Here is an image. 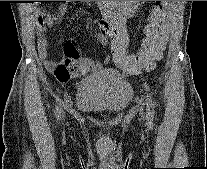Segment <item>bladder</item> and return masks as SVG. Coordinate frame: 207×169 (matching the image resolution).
<instances>
[{"mask_svg":"<svg viewBox=\"0 0 207 169\" xmlns=\"http://www.w3.org/2000/svg\"><path fill=\"white\" fill-rule=\"evenodd\" d=\"M133 98V90L118 73L103 70L83 79L77 86L76 106L90 114L118 115Z\"/></svg>","mask_w":207,"mask_h":169,"instance_id":"1","label":"bladder"}]
</instances>
